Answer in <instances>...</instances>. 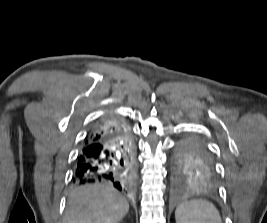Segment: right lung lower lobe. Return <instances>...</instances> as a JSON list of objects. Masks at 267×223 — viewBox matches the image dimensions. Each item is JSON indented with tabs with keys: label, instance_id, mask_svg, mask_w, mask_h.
<instances>
[{
	"label": "right lung lower lobe",
	"instance_id": "right-lung-lower-lobe-1",
	"mask_svg": "<svg viewBox=\"0 0 267 223\" xmlns=\"http://www.w3.org/2000/svg\"><path fill=\"white\" fill-rule=\"evenodd\" d=\"M132 157L128 127L117 128L115 135L84 143L77 158L73 183L81 185L100 182L129 193L136 178Z\"/></svg>",
	"mask_w": 267,
	"mask_h": 223
}]
</instances>
